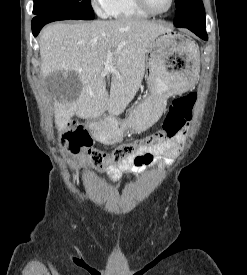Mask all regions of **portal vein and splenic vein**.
<instances>
[{
	"label": "portal vein and splenic vein",
	"mask_w": 247,
	"mask_h": 275,
	"mask_svg": "<svg viewBox=\"0 0 247 275\" xmlns=\"http://www.w3.org/2000/svg\"><path fill=\"white\" fill-rule=\"evenodd\" d=\"M112 53H107V55H106V57H107V64H106V70L108 71V72H110V71H113V68H112V66L110 65V60H111V58H112Z\"/></svg>",
	"instance_id": "portal-vein-and-splenic-vein-1"
}]
</instances>
